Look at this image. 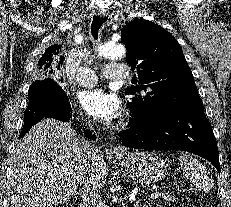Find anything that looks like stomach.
<instances>
[{"label": "stomach", "mask_w": 231, "mask_h": 207, "mask_svg": "<svg viewBox=\"0 0 231 207\" xmlns=\"http://www.w3.org/2000/svg\"><path fill=\"white\" fill-rule=\"evenodd\" d=\"M118 159L133 179L144 184H154L167 174L164 160L152 152H125Z\"/></svg>", "instance_id": "1"}]
</instances>
